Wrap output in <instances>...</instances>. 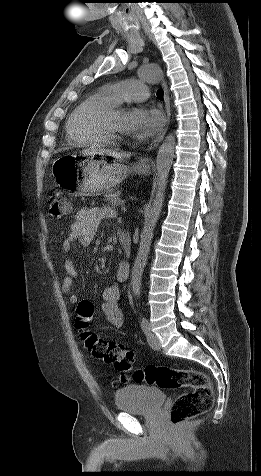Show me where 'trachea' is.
I'll return each instance as SVG.
<instances>
[{
    "mask_svg": "<svg viewBox=\"0 0 261 476\" xmlns=\"http://www.w3.org/2000/svg\"><path fill=\"white\" fill-rule=\"evenodd\" d=\"M163 96H164L163 90H158V91H157V97H158V99L163 100Z\"/></svg>",
    "mask_w": 261,
    "mask_h": 476,
    "instance_id": "trachea-1",
    "label": "trachea"
}]
</instances>
